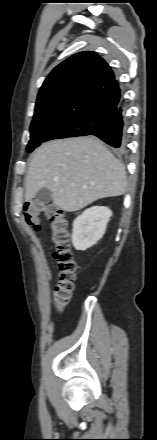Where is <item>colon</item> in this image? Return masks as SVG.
Masks as SVG:
<instances>
[{
  "instance_id": "obj_1",
  "label": "colon",
  "mask_w": 157,
  "mask_h": 440,
  "mask_svg": "<svg viewBox=\"0 0 157 440\" xmlns=\"http://www.w3.org/2000/svg\"><path fill=\"white\" fill-rule=\"evenodd\" d=\"M48 220V230L55 246L54 258L58 264L55 306L62 310L69 303L74 290L76 263L70 246L69 220L66 213L52 204L29 201L24 205V218L29 226L40 229L41 218Z\"/></svg>"
}]
</instances>
